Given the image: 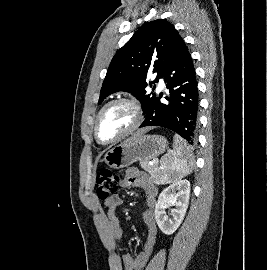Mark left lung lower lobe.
Here are the masks:
<instances>
[{
	"label": "left lung lower lobe",
	"instance_id": "left-lung-lower-lobe-1",
	"mask_svg": "<svg viewBox=\"0 0 267 270\" xmlns=\"http://www.w3.org/2000/svg\"><path fill=\"white\" fill-rule=\"evenodd\" d=\"M163 77L169 89V94L165 97L167 102L161 103L159 98L155 97L140 127L167 128L193 146L196 143L199 98L195 68L183 39L179 42Z\"/></svg>",
	"mask_w": 267,
	"mask_h": 270
}]
</instances>
